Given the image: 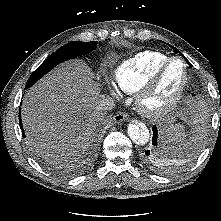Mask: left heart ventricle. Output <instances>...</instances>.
<instances>
[{"label": "left heart ventricle", "mask_w": 221, "mask_h": 221, "mask_svg": "<svg viewBox=\"0 0 221 221\" xmlns=\"http://www.w3.org/2000/svg\"><path fill=\"white\" fill-rule=\"evenodd\" d=\"M184 76L180 62L173 63L166 71L154 94L147 100L149 107H157L168 102L179 90Z\"/></svg>", "instance_id": "1"}]
</instances>
